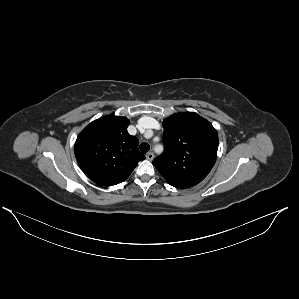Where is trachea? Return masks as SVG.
I'll return each mask as SVG.
<instances>
[{"instance_id": "1", "label": "trachea", "mask_w": 299, "mask_h": 299, "mask_svg": "<svg viewBox=\"0 0 299 299\" xmlns=\"http://www.w3.org/2000/svg\"><path fill=\"white\" fill-rule=\"evenodd\" d=\"M150 149V146L147 143H141L140 144V150L142 153H147Z\"/></svg>"}]
</instances>
